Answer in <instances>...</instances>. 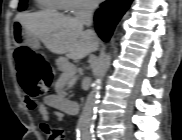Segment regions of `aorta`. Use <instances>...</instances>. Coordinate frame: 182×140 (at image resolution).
Listing matches in <instances>:
<instances>
[{"label":"aorta","instance_id":"762f6f07","mask_svg":"<svg viewBox=\"0 0 182 140\" xmlns=\"http://www.w3.org/2000/svg\"><path fill=\"white\" fill-rule=\"evenodd\" d=\"M111 63V55L106 54L99 66L97 78L92 84V90L87 96L81 116L79 118L77 130L81 140H91L93 138V120L95 109L99 99V89L102 84V79L107 73Z\"/></svg>","mask_w":182,"mask_h":140}]
</instances>
